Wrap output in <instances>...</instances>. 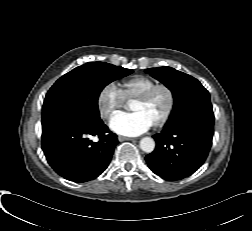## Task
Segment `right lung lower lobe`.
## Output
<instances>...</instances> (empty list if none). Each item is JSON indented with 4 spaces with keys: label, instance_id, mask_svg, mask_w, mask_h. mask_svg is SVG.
<instances>
[{
    "label": "right lung lower lobe",
    "instance_id": "right-lung-lower-lobe-1",
    "mask_svg": "<svg viewBox=\"0 0 252 231\" xmlns=\"http://www.w3.org/2000/svg\"><path fill=\"white\" fill-rule=\"evenodd\" d=\"M99 137L98 142L89 137ZM118 144L100 119L86 122L59 119L42 128V149L50 166L62 177L87 182L99 176L109 165Z\"/></svg>",
    "mask_w": 252,
    "mask_h": 231
}]
</instances>
